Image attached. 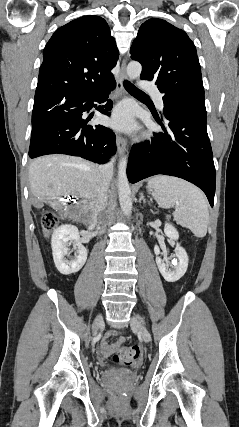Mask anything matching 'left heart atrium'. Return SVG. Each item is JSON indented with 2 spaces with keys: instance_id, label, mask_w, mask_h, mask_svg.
<instances>
[{
  "instance_id": "obj_1",
  "label": "left heart atrium",
  "mask_w": 239,
  "mask_h": 427,
  "mask_svg": "<svg viewBox=\"0 0 239 427\" xmlns=\"http://www.w3.org/2000/svg\"><path fill=\"white\" fill-rule=\"evenodd\" d=\"M110 123L118 130H132L135 126L132 107L128 103H123L117 106L113 111Z\"/></svg>"
}]
</instances>
